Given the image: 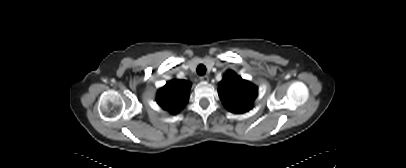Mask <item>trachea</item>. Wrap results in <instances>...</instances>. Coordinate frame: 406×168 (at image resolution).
<instances>
[{"instance_id":"1","label":"trachea","mask_w":406,"mask_h":168,"mask_svg":"<svg viewBox=\"0 0 406 168\" xmlns=\"http://www.w3.org/2000/svg\"><path fill=\"white\" fill-rule=\"evenodd\" d=\"M206 73V67L203 64L198 65L197 74L203 76Z\"/></svg>"}]
</instances>
